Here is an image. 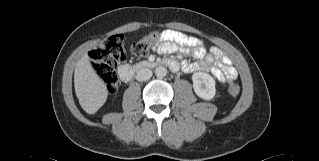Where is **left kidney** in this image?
<instances>
[{"mask_svg": "<svg viewBox=\"0 0 319 161\" xmlns=\"http://www.w3.org/2000/svg\"><path fill=\"white\" fill-rule=\"evenodd\" d=\"M193 88L197 96L204 100H212L215 96V80L204 72H196L192 75Z\"/></svg>", "mask_w": 319, "mask_h": 161, "instance_id": "left-kidney-1", "label": "left kidney"}]
</instances>
